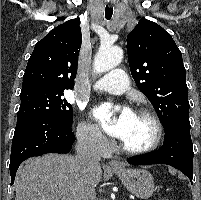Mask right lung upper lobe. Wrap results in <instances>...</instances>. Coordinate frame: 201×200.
I'll use <instances>...</instances> for the list:
<instances>
[{
  "label": "right lung upper lobe",
  "mask_w": 201,
  "mask_h": 200,
  "mask_svg": "<svg viewBox=\"0 0 201 200\" xmlns=\"http://www.w3.org/2000/svg\"><path fill=\"white\" fill-rule=\"evenodd\" d=\"M79 24L78 19L68 20L36 43L23 76L21 93L73 88L82 43Z\"/></svg>",
  "instance_id": "1"
}]
</instances>
